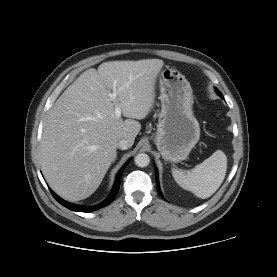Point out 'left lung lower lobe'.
Masks as SVG:
<instances>
[{"mask_svg": "<svg viewBox=\"0 0 277 277\" xmlns=\"http://www.w3.org/2000/svg\"><path fill=\"white\" fill-rule=\"evenodd\" d=\"M155 171H156V185H157V191H158L159 195L163 198L162 193H161V191H160V187H159L158 170H157L156 167H155ZM163 199H164V198H163Z\"/></svg>", "mask_w": 277, "mask_h": 277, "instance_id": "0a47b994", "label": "left lung lower lobe"}]
</instances>
